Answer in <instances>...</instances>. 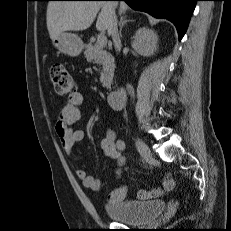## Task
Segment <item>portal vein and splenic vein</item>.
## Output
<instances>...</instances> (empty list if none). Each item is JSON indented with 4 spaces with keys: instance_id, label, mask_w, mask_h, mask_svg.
Instances as JSON below:
<instances>
[{
    "instance_id": "1",
    "label": "portal vein and splenic vein",
    "mask_w": 231,
    "mask_h": 231,
    "mask_svg": "<svg viewBox=\"0 0 231 231\" xmlns=\"http://www.w3.org/2000/svg\"><path fill=\"white\" fill-rule=\"evenodd\" d=\"M97 44L100 47H104L107 44V38H106V36H105V34L103 32L98 34V36H97Z\"/></svg>"
}]
</instances>
